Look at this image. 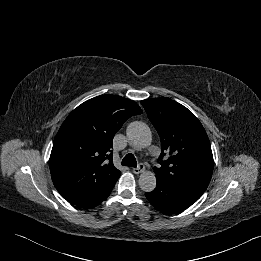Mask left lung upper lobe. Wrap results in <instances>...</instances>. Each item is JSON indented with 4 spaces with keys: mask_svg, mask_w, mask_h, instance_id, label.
Wrapping results in <instances>:
<instances>
[{
    "mask_svg": "<svg viewBox=\"0 0 261 261\" xmlns=\"http://www.w3.org/2000/svg\"><path fill=\"white\" fill-rule=\"evenodd\" d=\"M141 104L161 140V167L154 168L156 180L204 193L212 177L213 155L200 121L170 98H150Z\"/></svg>",
    "mask_w": 261,
    "mask_h": 261,
    "instance_id": "left-lung-upper-lobe-1",
    "label": "left lung upper lobe"
}]
</instances>
